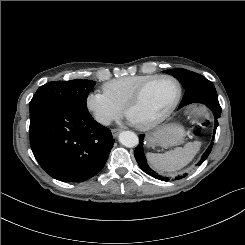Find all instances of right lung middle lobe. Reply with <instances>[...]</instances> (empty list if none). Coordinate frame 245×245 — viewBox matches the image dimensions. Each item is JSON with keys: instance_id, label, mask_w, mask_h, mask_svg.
Listing matches in <instances>:
<instances>
[{"instance_id": "1", "label": "right lung middle lobe", "mask_w": 245, "mask_h": 245, "mask_svg": "<svg viewBox=\"0 0 245 245\" xmlns=\"http://www.w3.org/2000/svg\"><path fill=\"white\" fill-rule=\"evenodd\" d=\"M94 81L75 79L53 81L39 87L30 101V114L42 107H56L69 112H88L86 99Z\"/></svg>"}]
</instances>
